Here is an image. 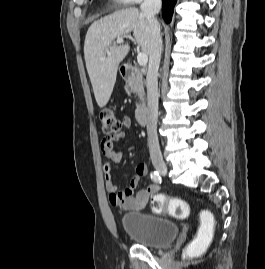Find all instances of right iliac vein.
Here are the masks:
<instances>
[{
  "label": "right iliac vein",
  "instance_id": "right-iliac-vein-1",
  "mask_svg": "<svg viewBox=\"0 0 265 269\" xmlns=\"http://www.w3.org/2000/svg\"><path fill=\"white\" fill-rule=\"evenodd\" d=\"M153 165L155 169L161 174V175H166L167 174V165L162 159H155L153 161Z\"/></svg>",
  "mask_w": 265,
  "mask_h": 269
}]
</instances>
